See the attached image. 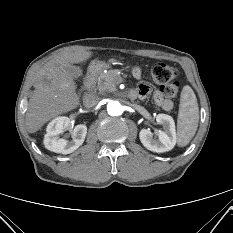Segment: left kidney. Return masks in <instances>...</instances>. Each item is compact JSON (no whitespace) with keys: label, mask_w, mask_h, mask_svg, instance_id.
<instances>
[{"label":"left kidney","mask_w":233,"mask_h":233,"mask_svg":"<svg viewBox=\"0 0 233 233\" xmlns=\"http://www.w3.org/2000/svg\"><path fill=\"white\" fill-rule=\"evenodd\" d=\"M156 122L163 126V130H158L157 138H153L149 129H142L139 133L141 143L145 148L156 153L172 150L177 140L173 118L167 114H158Z\"/></svg>","instance_id":"5707ae66"}]
</instances>
